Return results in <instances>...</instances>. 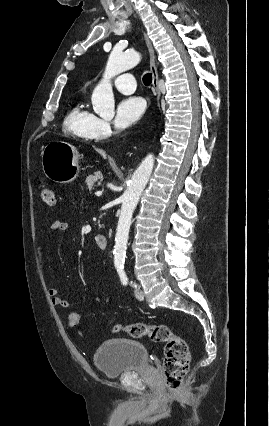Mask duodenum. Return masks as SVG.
<instances>
[{
    "label": "duodenum",
    "mask_w": 269,
    "mask_h": 426,
    "mask_svg": "<svg viewBox=\"0 0 269 426\" xmlns=\"http://www.w3.org/2000/svg\"><path fill=\"white\" fill-rule=\"evenodd\" d=\"M95 241L97 246L102 250L106 249L108 246V239L105 235H101V234L97 235L95 237Z\"/></svg>",
    "instance_id": "duodenum-1"
}]
</instances>
